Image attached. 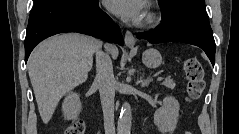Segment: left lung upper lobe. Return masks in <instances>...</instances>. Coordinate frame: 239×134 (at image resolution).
<instances>
[{
	"label": "left lung upper lobe",
	"mask_w": 239,
	"mask_h": 134,
	"mask_svg": "<svg viewBox=\"0 0 239 134\" xmlns=\"http://www.w3.org/2000/svg\"><path fill=\"white\" fill-rule=\"evenodd\" d=\"M186 2H199L205 3V0H159V5L162 10L163 18L169 17L173 14L182 4Z\"/></svg>",
	"instance_id": "1"
}]
</instances>
